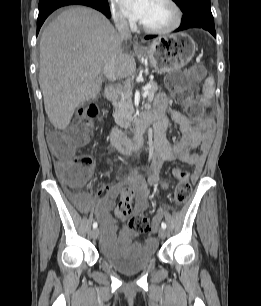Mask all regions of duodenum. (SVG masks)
Masks as SVG:
<instances>
[{"mask_svg": "<svg viewBox=\"0 0 261 306\" xmlns=\"http://www.w3.org/2000/svg\"><path fill=\"white\" fill-rule=\"evenodd\" d=\"M117 90L108 88L105 96L109 101L117 98ZM154 122V117L150 113H144L136 117L133 121L134 136L129 139L121 130L113 129L111 132V143L120 152L128 154L137 150L144 141V133L149 125Z\"/></svg>", "mask_w": 261, "mask_h": 306, "instance_id": "1", "label": "duodenum"}]
</instances>
